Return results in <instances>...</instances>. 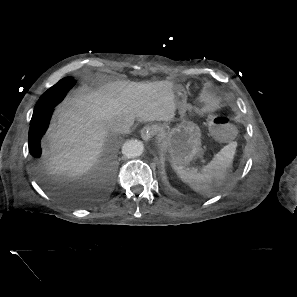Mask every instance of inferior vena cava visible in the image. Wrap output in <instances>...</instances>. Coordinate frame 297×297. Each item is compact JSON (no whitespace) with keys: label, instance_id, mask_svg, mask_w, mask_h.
<instances>
[{"label":"inferior vena cava","instance_id":"obj_1","mask_svg":"<svg viewBox=\"0 0 297 297\" xmlns=\"http://www.w3.org/2000/svg\"><path fill=\"white\" fill-rule=\"evenodd\" d=\"M133 121L130 119H122L112 124L111 129L115 133L128 134Z\"/></svg>","mask_w":297,"mask_h":297}]
</instances>
